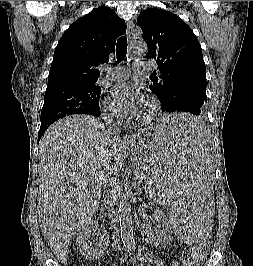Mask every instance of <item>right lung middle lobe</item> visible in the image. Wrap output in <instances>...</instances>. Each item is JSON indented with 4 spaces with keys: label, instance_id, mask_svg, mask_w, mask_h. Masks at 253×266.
Instances as JSON below:
<instances>
[{
    "label": "right lung middle lobe",
    "instance_id": "obj_1",
    "mask_svg": "<svg viewBox=\"0 0 253 266\" xmlns=\"http://www.w3.org/2000/svg\"><path fill=\"white\" fill-rule=\"evenodd\" d=\"M101 88L96 83L69 84L46 90L41 126L72 114H98Z\"/></svg>",
    "mask_w": 253,
    "mask_h": 266
}]
</instances>
